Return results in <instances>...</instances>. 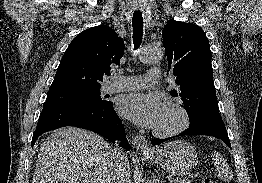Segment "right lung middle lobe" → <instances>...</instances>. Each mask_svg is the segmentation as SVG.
Segmentation results:
<instances>
[{"label": "right lung middle lobe", "instance_id": "dd1d6c3e", "mask_svg": "<svg viewBox=\"0 0 262 183\" xmlns=\"http://www.w3.org/2000/svg\"><path fill=\"white\" fill-rule=\"evenodd\" d=\"M45 103H71L84 106H105L109 101L100 96V88L70 89L48 92Z\"/></svg>", "mask_w": 262, "mask_h": 183}]
</instances>
